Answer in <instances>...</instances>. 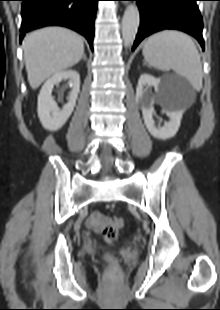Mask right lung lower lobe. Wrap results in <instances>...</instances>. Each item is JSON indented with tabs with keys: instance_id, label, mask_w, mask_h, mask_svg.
<instances>
[{
	"instance_id": "obj_1",
	"label": "right lung lower lobe",
	"mask_w": 220,
	"mask_h": 310,
	"mask_svg": "<svg viewBox=\"0 0 220 310\" xmlns=\"http://www.w3.org/2000/svg\"><path fill=\"white\" fill-rule=\"evenodd\" d=\"M21 35L44 26L68 27L82 34L93 49L94 20L99 0H21Z\"/></svg>"
}]
</instances>
